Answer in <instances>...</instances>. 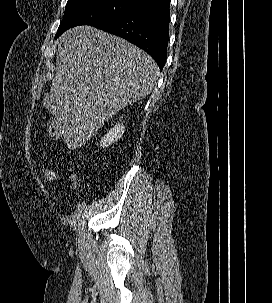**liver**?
I'll return each mask as SVG.
<instances>
[{
    "label": "liver",
    "mask_w": 272,
    "mask_h": 303,
    "mask_svg": "<svg viewBox=\"0 0 272 303\" xmlns=\"http://www.w3.org/2000/svg\"><path fill=\"white\" fill-rule=\"evenodd\" d=\"M160 70L146 52L92 26L57 40L56 69L44 106L70 149L85 145L113 115L145 98Z\"/></svg>",
    "instance_id": "liver-1"
}]
</instances>
